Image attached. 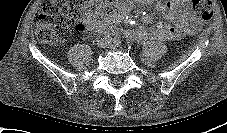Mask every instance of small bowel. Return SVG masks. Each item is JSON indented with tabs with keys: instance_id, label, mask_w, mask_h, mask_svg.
<instances>
[{
	"instance_id": "c3829d8e",
	"label": "small bowel",
	"mask_w": 227,
	"mask_h": 133,
	"mask_svg": "<svg viewBox=\"0 0 227 133\" xmlns=\"http://www.w3.org/2000/svg\"><path fill=\"white\" fill-rule=\"evenodd\" d=\"M134 3L148 4L153 0H133ZM189 0H160L158 10L163 14L166 22H160L156 28L147 27L146 20L143 25L135 29H128L125 35L129 39L166 41L177 40L185 35L193 34L200 28V21L194 12L188 7ZM129 7L124 6L113 16L114 22L123 18Z\"/></svg>"
}]
</instances>
